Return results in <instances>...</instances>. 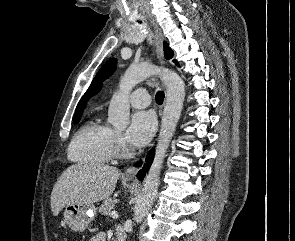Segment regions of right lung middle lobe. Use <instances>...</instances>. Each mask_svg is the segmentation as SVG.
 I'll list each match as a JSON object with an SVG mask.
<instances>
[{
    "label": "right lung middle lobe",
    "instance_id": "dd1d6c3e",
    "mask_svg": "<svg viewBox=\"0 0 295 241\" xmlns=\"http://www.w3.org/2000/svg\"><path fill=\"white\" fill-rule=\"evenodd\" d=\"M80 118H81L80 116H79V117H75V118H74V123H75V124L78 123L79 120H80Z\"/></svg>",
    "mask_w": 295,
    "mask_h": 241
}]
</instances>
